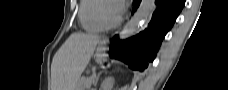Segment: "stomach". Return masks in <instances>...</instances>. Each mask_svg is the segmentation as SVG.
Masks as SVG:
<instances>
[{"label": "stomach", "mask_w": 228, "mask_h": 90, "mask_svg": "<svg viewBox=\"0 0 228 90\" xmlns=\"http://www.w3.org/2000/svg\"><path fill=\"white\" fill-rule=\"evenodd\" d=\"M103 49H104V43H101L99 52L101 53L103 51ZM96 60L97 61H100L101 60V57L100 56H97Z\"/></svg>", "instance_id": "0dacf381"}]
</instances>
